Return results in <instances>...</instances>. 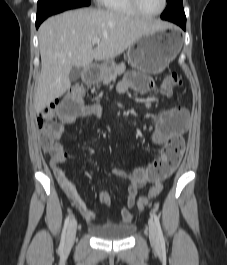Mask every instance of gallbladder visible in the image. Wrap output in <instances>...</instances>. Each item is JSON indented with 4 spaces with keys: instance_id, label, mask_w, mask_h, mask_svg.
<instances>
[{
    "instance_id": "1",
    "label": "gallbladder",
    "mask_w": 227,
    "mask_h": 265,
    "mask_svg": "<svg viewBox=\"0 0 227 265\" xmlns=\"http://www.w3.org/2000/svg\"><path fill=\"white\" fill-rule=\"evenodd\" d=\"M81 75V68L78 67H72L70 74H69V78L70 81H77L79 79Z\"/></svg>"
}]
</instances>
